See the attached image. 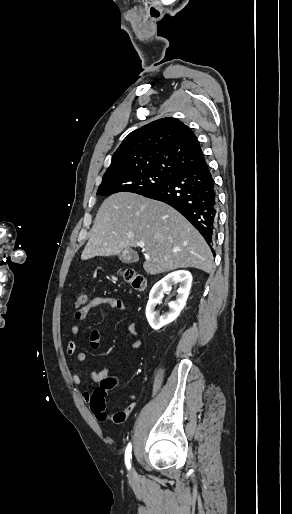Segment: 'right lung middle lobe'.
I'll list each match as a JSON object with an SVG mask.
<instances>
[{
	"label": "right lung middle lobe",
	"mask_w": 292,
	"mask_h": 514,
	"mask_svg": "<svg viewBox=\"0 0 292 514\" xmlns=\"http://www.w3.org/2000/svg\"><path fill=\"white\" fill-rule=\"evenodd\" d=\"M172 174L167 172H144L122 175L102 180L97 195L107 196L117 192H132L143 195L167 181Z\"/></svg>",
	"instance_id": "1"
}]
</instances>
